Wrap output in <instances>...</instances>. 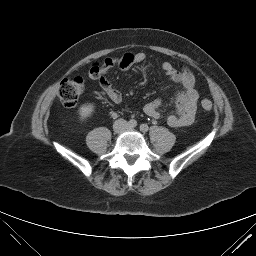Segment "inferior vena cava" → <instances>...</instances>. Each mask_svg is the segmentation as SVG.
Wrapping results in <instances>:
<instances>
[{
	"instance_id": "1",
	"label": "inferior vena cava",
	"mask_w": 256,
	"mask_h": 256,
	"mask_svg": "<svg viewBox=\"0 0 256 256\" xmlns=\"http://www.w3.org/2000/svg\"><path fill=\"white\" fill-rule=\"evenodd\" d=\"M126 121L124 119H118L114 123V128H118L119 126L125 127L126 126Z\"/></svg>"
}]
</instances>
